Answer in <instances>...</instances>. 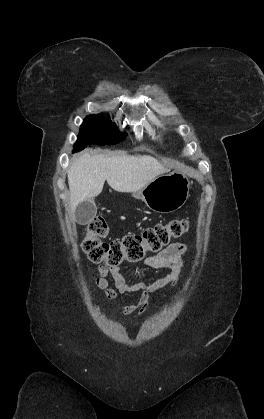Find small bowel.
Instances as JSON below:
<instances>
[{
  "mask_svg": "<svg viewBox=\"0 0 264 419\" xmlns=\"http://www.w3.org/2000/svg\"><path fill=\"white\" fill-rule=\"evenodd\" d=\"M186 249L187 247L183 243H173L158 254L145 258L144 263L148 267L169 270V273L164 277L151 283L136 282L130 284L126 281L119 268L100 266L97 269L96 285L105 291L109 299L115 298L116 292L120 294L140 292L141 296L136 303L119 307L117 311L122 315H131L134 317L142 315L148 308L151 293L165 286H174L178 282L181 269L184 265ZM108 276L114 281L116 291L109 288Z\"/></svg>",
  "mask_w": 264,
  "mask_h": 419,
  "instance_id": "1",
  "label": "small bowel"
}]
</instances>
